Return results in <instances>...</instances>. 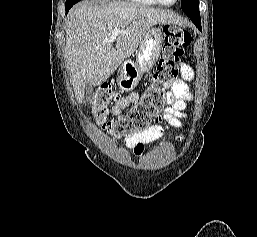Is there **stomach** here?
Returning a JSON list of instances; mask_svg holds the SVG:
<instances>
[{"instance_id": "obj_1", "label": "stomach", "mask_w": 257, "mask_h": 237, "mask_svg": "<svg viewBox=\"0 0 257 237\" xmlns=\"http://www.w3.org/2000/svg\"><path fill=\"white\" fill-rule=\"evenodd\" d=\"M163 43L162 28L151 27L144 35L136 51V60H126L118 72V85L122 91H131L159 58Z\"/></svg>"}]
</instances>
